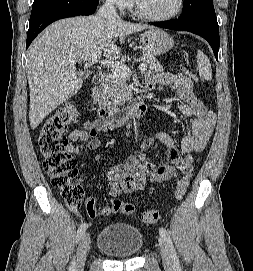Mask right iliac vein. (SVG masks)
<instances>
[{"instance_id":"right-iliac-vein-1","label":"right iliac vein","mask_w":253,"mask_h":271,"mask_svg":"<svg viewBox=\"0 0 253 271\" xmlns=\"http://www.w3.org/2000/svg\"><path fill=\"white\" fill-rule=\"evenodd\" d=\"M89 246H90V235L89 233H84L80 239L79 246L77 249L75 271H83Z\"/></svg>"}]
</instances>
